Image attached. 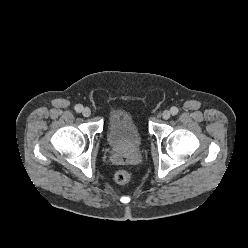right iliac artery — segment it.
I'll return each instance as SVG.
<instances>
[{"instance_id":"1","label":"right iliac artery","mask_w":248,"mask_h":248,"mask_svg":"<svg viewBox=\"0 0 248 248\" xmlns=\"http://www.w3.org/2000/svg\"><path fill=\"white\" fill-rule=\"evenodd\" d=\"M76 112L80 113L83 110V106L81 104H78L75 106Z\"/></svg>"}]
</instances>
